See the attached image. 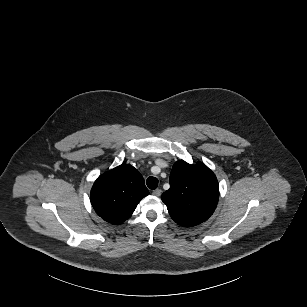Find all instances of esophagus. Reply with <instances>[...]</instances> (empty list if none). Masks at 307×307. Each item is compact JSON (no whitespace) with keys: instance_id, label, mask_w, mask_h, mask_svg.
<instances>
[{"instance_id":"obj_1","label":"esophagus","mask_w":307,"mask_h":307,"mask_svg":"<svg viewBox=\"0 0 307 307\" xmlns=\"http://www.w3.org/2000/svg\"><path fill=\"white\" fill-rule=\"evenodd\" d=\"M153 196L159 197L161 195V189H156L152 192Z\"/></svg>"}]
</instances>
